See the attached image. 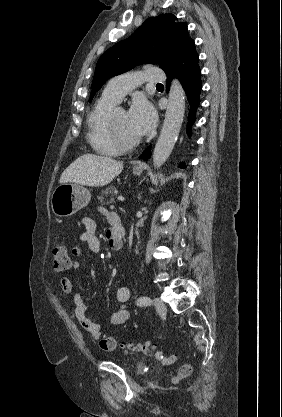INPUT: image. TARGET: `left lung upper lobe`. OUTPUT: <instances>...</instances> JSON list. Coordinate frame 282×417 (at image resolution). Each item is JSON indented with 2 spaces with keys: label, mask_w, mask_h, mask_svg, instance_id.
Instances as JSON below:
<instances>
[{
  "label": "left lung upper lobe",
  "mask_w": 282,
  "mask_h": 417,
  "mask_svg": "<svg viewBox=\"0 0 282 417\" xmlns=\"http://www.w3.org/2000/svg\"><path fill=\"white\" fill-rule=\"evenodd\" d=\"M173 14L147 19L129 38L108 49L98 60L92 82V100L96 91L111 77L143 63H162L167 71L177 53L192 39L186 23H177Z\"/></svg>",
  "instance_id": "5c2ea615"
}]
</instances>
